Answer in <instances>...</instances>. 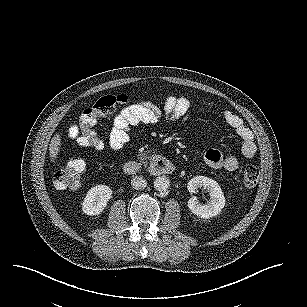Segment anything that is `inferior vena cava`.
I'll return each mask as SVG.
<instances>
[{
    "label": "inferior vena cava",
    "mask_w": 307,
    "mask_h": 307,
    "mask_svg": "<svg viewBox=\"0 0 307 307\" xmlns=\"http://www.w3.org/2000/svg\"><path fill=\"white\" fill-rule=\"evenodd\" d=\"M131 186L136 190H143L147 187V181L142 176H135L131 179Z\"/></svg>",
    "instance_id": "1"
}]
</instances>
